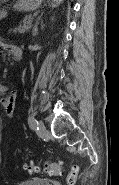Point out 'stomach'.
Returning a JSON list of instances; mask_svg holds the SVG:
<instances>
[{
  "instance_id": "0dacf381",
  "label": "stomach",
  "mask_w": 119,
  "mask_h": 185,
  "mask_svg": "<svg viewBox=\"0 0 119 185\" xmlns=\"http://www.w3.org/2000/svg\"><path fill=\"white\" fill-rule=\"evenodd\" d=\"M43 0H19L15 8L19 11H33L36 10ZM6 16V12L0 10V19Z\"/></svg>"
}]
</instances>
